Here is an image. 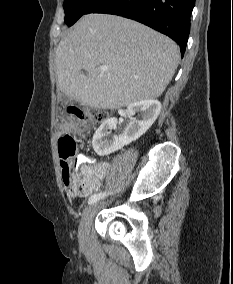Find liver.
Instances as JSON below:
<instances>
[{
    "label": "liver",
    "instance_id": "6515ba94",
    "mask_svg": "<svg viewBox=\"0 0 233 284\" xmlns=\"http://www.w3.org/2000/svg\"><path fill=\"white\" fill-rule=\"evenodd\" d=\"M55 55L57 86L64 95L114 110L158 98L178 66L179 48L136 21L88 14L61 39ZM103 65L107 71L100 70Z\"/></svg>",
    "mask_w": 233,
    "mask_h": 284
}]
</instances>
